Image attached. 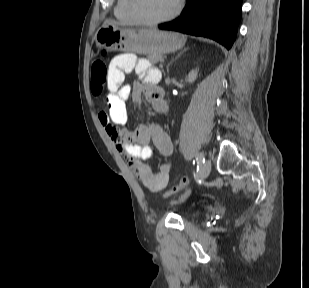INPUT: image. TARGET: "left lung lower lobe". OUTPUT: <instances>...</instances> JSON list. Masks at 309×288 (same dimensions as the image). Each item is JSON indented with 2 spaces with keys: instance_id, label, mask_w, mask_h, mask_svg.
<instances>
[{
  "instance_id": "1",
  "label": "left lung lower lobe",
  "mask_w": 309,
  "mask_h": 288,
  "mask_svg": "<svg viewBox=\"0 0 309 288\" xmlns=\"http://www.w3.org/2000/svg\"><path fill=\"white\" fill-rule=\"evenodd\" d=\"M242 0H187L182 15L159 29L216 40L230 49L241 18Z\"/></svg>"
}]
</instances>
